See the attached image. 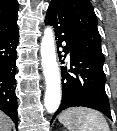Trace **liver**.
<instances>
[{
	"instance_id": "obj_1",
	"label": "liver",
	"mask_w": 117,
	"mask_h": 131,
	"mask_svg": "<svg viewBox=\"0 0 117 131\" xmlns=\"http://www.w3.org/2000/svg\"><path fill=\"white\" fill-rule=\"evenodd\" d=\"M12 122L11 120L0 111V131H11Z\"/></svg>"
}]
</instances>
